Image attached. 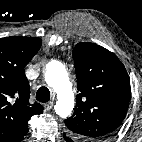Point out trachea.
<instances>
[{
    "instance_id": "1",
    "label": "trachea",
    "mask_w": 142,
    "mask_h": 142,
    "mask_svg": "<svg viewBox=\"0 0 142 142\" xmlns=\"http://www.w3.org/2000/svg\"><path fill=\"white\" fill-rule=\"evenodd\" d=\"M36 99L39 102H42V103L48 102L49 99H50V91H49V89L47 87H44V86L40 87L37 90Z\"/></svg>"
}]
</instances>
